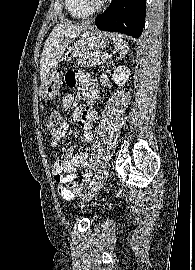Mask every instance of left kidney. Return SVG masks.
I'll return each mask as SVG.
<instances>
[{"instance_id": "1", "label": "left kidney", "mask_w": 195, "mask_h": 270, "mask_svg": "<svg viewBox=\"0 0 195 270\" xmlns=\"http://www.w3.org/2000/svg\"><path fill=\"white\" fill-rule=\"evenodd\" d=\"M129 75H130V69L128 67L119 66L114 70L112 79L118 86H123L126 83V81L129 79Z\"/></svg>"}]
</instances>
